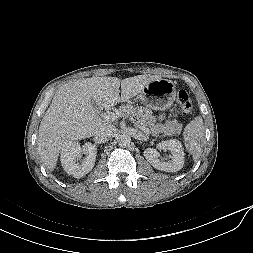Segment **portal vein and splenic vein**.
<instances>
[{
	"mask_svg": "<svg viewBox=\"0 0 253 253\" xmlns=\"http://www.w3.org/2000/svg\"><path fill=\"white\" fill-rule=\"evenodd\" d=\"M104 120L106 121H115L117 118H119L117 113L114 112H107L103 115ZM130 120L140 129L142 130L145 134L149 135L150 134V130L146 127L141 126L140 124H138L134 118H130Z\"/></svg>",
	"mask_w": 253,
	"mask_h": 253,
	"instance_id": "portal-vein-and-splenic-vein-1",
	"label": "portal vein and splenic vein"
}]
</instances>
